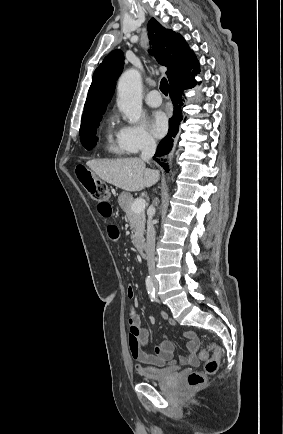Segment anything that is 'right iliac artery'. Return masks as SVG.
Wrapping results in <instances>:
<instances>
[{
  "instance_id": "1",
  "label": "right iliac artery",
  "mask_w": 283,
  "mask_h": 434,
  "mask_svg": "<svg viewBox=\"0 0 283 434\" xmlns=\"http://www.w3.org/2000/svg\"><path fill=\"white\" fill-rule=\"evenodd\" d=\"M146 288H147V291H148V294H149L151 300L155 301L156 300L155 299V288L153 285V281L150 277L146 278Z\"/></svg>"
}]
</instances>
